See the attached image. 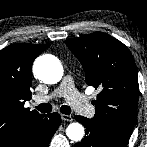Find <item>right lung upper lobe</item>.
<instances>
[{"label":"right lung upper lobe","mask_w":147,"mask_h":147,"mask_svg":"<svg viewBox=\"0 0 147 147\" xmlns=\"http://www.w3.org/2000/svg\"><path fill=\"white\" fill-rule=\"evenodd\" d=\"M50 44H13L0 51V143L45 114L25 108L30 100L32 64Z\"/></svg>","instance_id":"obj_1"}]
</instances>
